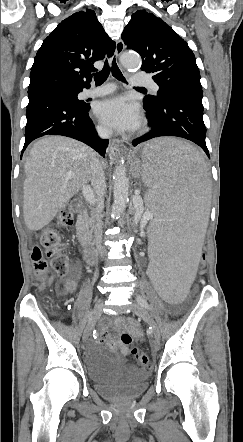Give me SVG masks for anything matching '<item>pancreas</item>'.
<instances>
[{
	"instance_id": "1",
	"label": "pancreas",
	"mask_w": 243,
	"mask_h": 442,
	"mask_svg": "<svg viewBox=\"0 0 243 442\" xmlns=\"http://www.w3.org/2000/svg\"><path fill=\"white\" fill-rule=\"evenodd\" d=\"M93 232V221L91 217H85L77 224V236L81 243L90 240Z\"/></svg>"
}]
</instances>
